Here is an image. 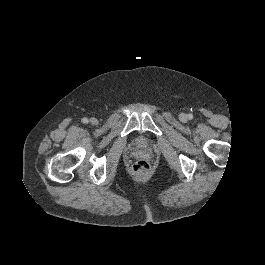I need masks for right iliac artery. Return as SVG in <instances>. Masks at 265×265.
<instances>
[{
	"label": "right iliac artery",
	"instance_id": "1",
	"mask_svg": "<svg viewBox=\"0 0 265 265\" xmlns=\"http://www.w3.org/2000/svg\"><path fill=\"white\" fill-rule=\"evenodd\" d=\"M82 122H83L84 124H87V123H88V119H87V118H83V119H82Z\"/></svg>",
	"mask_w": 265,
	"mask_h": 265
}]
</instances>
